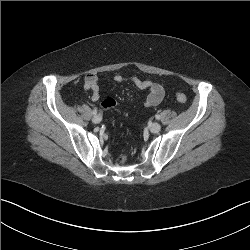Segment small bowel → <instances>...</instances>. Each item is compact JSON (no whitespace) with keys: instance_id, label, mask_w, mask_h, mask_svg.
<instances>
[{"instance_id":"c3829d8e","label":"small bowel","mask_w":250,"mask_h":250,"mask_svg":"<svg viewBox=\"0 0 250 250\" xmlns=\"http://www.w3.org/2000/svg\"><path fill=\"white\" fill-rule=\"evenodd\" d=\"M113 80L117 83L131 82L137 88L142 90H148V94L145 98L144 105L146 107H152L158 105L164 97V88L161 84L150 80H142L135 76L126 77L123 75H115ZM83 88L86 91H91L92 101H97L100 98L98 79L95 75L89 74L84 78Z\"/></svg>"}]
</instances>
